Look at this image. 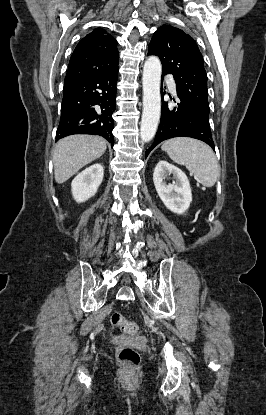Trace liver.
Returning a JSON list of instances; mask_svg holds the SVG:
<instances>
[{
    "instance_id": "1",
    "label": "liver",
    "mask_w": 266,
    "mask_h": 415,
    "mask_svg": "<svg viewBox=\"0 0 266 415\" xmlns=\"http://www.w3.org/2000/svg\"><path fill=\"white\" fill-rule=\"evenodd\" d=\"M107 142L99 136L72 135L57 142L53 151L54 175L58 184L66 182L81 168L101 157Z\"/></svg>"
}]
</instances>
